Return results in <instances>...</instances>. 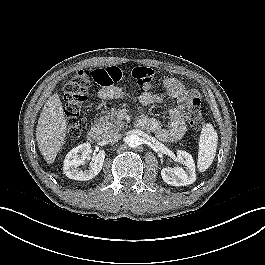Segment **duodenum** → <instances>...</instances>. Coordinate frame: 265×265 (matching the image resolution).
Wrapping results in <instances>:
<instances>
[{
	"mask_svg": "<svg viewBox=\"0 0 265 265\" xmlns=\"http://www.w3.org/2000/svg\"><path fill=\"white\" fill-rule=\"evenodd\" d=\"M100 138V131L98 128L93 127L87 133V139L91 143H96Z\"/></svg>",
	"mask_w": 265,
	"mask_h": 265,
	"instance_id": "1",
	"label": "duodenum"
}]
</instances>
